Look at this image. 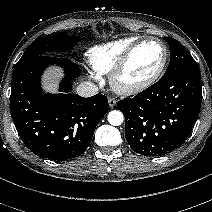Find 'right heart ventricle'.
Instances as JSON below:
<instances>
[{"instance_id": "1", "label": "right heart ventricle", "mask_w": 212, "mask_h": 212, "mask_svg": "<svg viewBox=\"0 0 212 212\" xmlns=\"http://www.w3.org/2000/svg\"><path fill=\"white\" fill-rule=\"evenodd\" d=\"M138 40V37H126L91 48L87 59L92 69L98 74L111 72L125 51Z\"/></svg>"}]
</instances>
